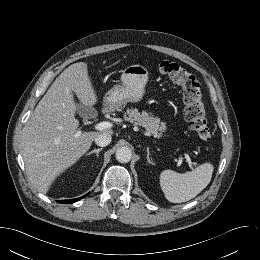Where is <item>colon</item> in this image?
Segmentation results:
<instances>
[{
	"mask_svg": "<svg viewBox=\"0 0 260 260\" xmlns=\"http://www.w3.org/2000/svg\"><path fill=\"white\" fill-rule=\"evenodd\" d=\"M159 71L181 87L185 104V118L190 129L200 139L209 140L211 131L202 99L201 84L198 79L190 71L174 62H161Z\"/></svg>",
	"mask_w": 260,
	"mask_h": 260,
	"instance_id": "1",
	"label": "colon"
}]
</instances>
